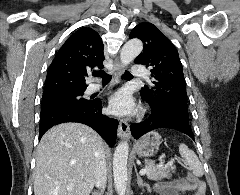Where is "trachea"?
Returning <instances> with one entry per match:
<instances>
[{
    "label": "trachea",
    "mask_w": 240,
    "mask_h": 195,
    "mask_svg": "<svg viewBox=\"0 0 240 195\" xmlns=\"http://www.w3.org/2000/svg\"><path fill=\"white\" fill-rule=\"evenodd\" d=\"M92 73L95 77H101L103 84L109 83L111 81L112 75H109L104 70H99V71L92 72ZM132 77H133V75H131V73L128 71H125L124 74L122 75V78H125V79H130Z\"/></svg>",
    "instance_id": "trachea-1"
}]
</instances>
